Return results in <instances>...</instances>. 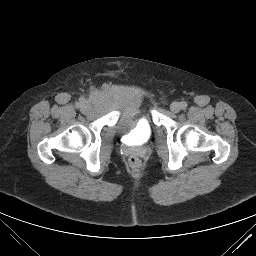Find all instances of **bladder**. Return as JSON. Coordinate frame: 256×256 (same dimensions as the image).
Here are the masks:
<instances>
[{
  "label": "bladder",
  "instance_id": "bladder-1",
  "mask_svg": "<svg viewBox=\"0 0 256 256\" xmlns=\"http://www.w3.org/2000/svg\"><path fill=\"white\" fill-rule=\"evenodd\" d=\"M96 101L115 110V128L132 136L134 143H144L152 136V124L148 116L141 114L142 97L129 90L101 92Z\"/></svg>",
  "mask_w": 256,
  "mask_h": 256
}]
</instances>
